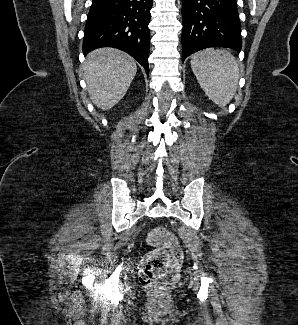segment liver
Segmentation results:
<instances>
[{
	"mask_svg": "<svg viewBox=\"0 0 298 325\" xmlns=\"http://www.w3.org/2000/svg\"><path fill=\"white\" fill-rule=\"evenodd\" d=\"M89 96L102 110L112 108L126 94L136 72L134 58L117 48H96L83 64Z\"/></svg>",
	"mask_w": 298,
	"mask_h": 325,
	"instance_id": "liver-1",
	"label": "liver"
}]
</instances>
